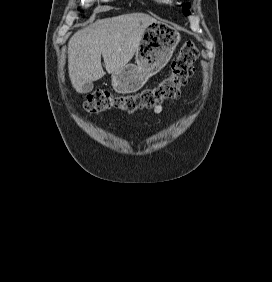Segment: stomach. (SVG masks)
Masks as SVG:
<instances>
[{
	"label": "stomach",
	"mask_w": 272,
	"mask_h": 282,
	"mask_svg": "<svg viewBox=\"0 0 272 282\" xmlns=\"http://www.w3.org/2000/svg\"><path fill=\"white\" fill-rule=\"evenodd\" d=\"M180 42V34L171 26L155 22L149 25L135 54V64H127L112 74V86L122 94L137 92L147 80L165 67Z\"/></svg>",
	"instance_id": "stomach-1"
}]
</instances>
